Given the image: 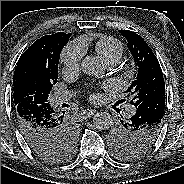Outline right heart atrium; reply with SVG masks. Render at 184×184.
Returning a JSON list of instances; mask_svg holds the SVG:
<instances>
[{
	"instance_id": "d8ad5b80",
	"label": "right heart atrium",
	"mask_w": 184,
	"mask_h": 184,
	"mask_svg": "<svg viewBox=\"0 0 184 184\" xmlns=\"http://www.w3.org/2000/svg\"><path fill=\"white\" fill-rule=\"evenodd\" d=\"M85 54V47L80 41L68 44L61 55L62 64L68 69H77Z\"/></svg>"
}]
</instances>
